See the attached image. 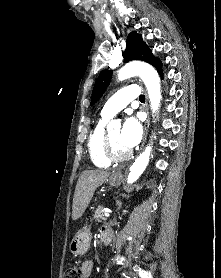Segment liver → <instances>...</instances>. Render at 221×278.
Returning <instances> with one entry per match:
<instances>
[{
    "mask_svg": "<svg viewBox=\"0 0 221 278\" xmlns=\"http://www.w3.org/2000/svg\"><path fill=\"white\" fill-rule=\"evenodd\" d=\"M110 176V172L86 170L80 175L73 197L72 219H79L88 207L95 190Z\"/></svg>",
    "mask_w": 221,
    "mask_h": 278,
    "instance_id": "1",
    "label": "liver"
}]
</instances>
